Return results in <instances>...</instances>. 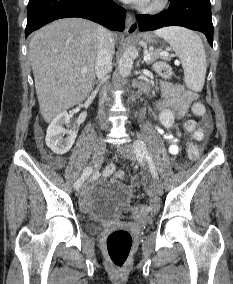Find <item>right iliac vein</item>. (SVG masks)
Instances as JSON below:
<instances>
[{
    "mask_svg": "<svg viewBox=\"0 0 233 284\" xmlns=\"http://www.w3.org/2000/svg\"><path fill=\"white\" fill-rule=\"evenodd\" d=\"M104 152H105V143L102 139H98L95 143L93 157H92V162L95 167L99 166ZM83 191H84L83 187H78L77 189H75V194H82Z\"/></svg>",
    "mask_w": 233,
    "mask_h": 284,
    "instance_id": "right-iliac-vein-1",
    "label": "right iliac vein"
}]
</instances>
